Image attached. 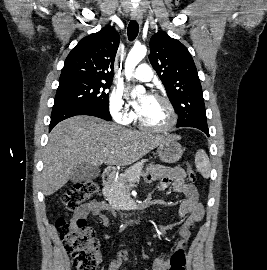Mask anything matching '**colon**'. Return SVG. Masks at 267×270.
<instances>
[{"label":"colon","instance_id":"5ec220e1","mask_svg":"<svg viewBox=\"0 0 267 270\" xmlns=\"http://www.w3.org/2000/svg\"><path fill=\"white\" fill-rule=\"evenodd\" d=\"M196 174L191 165L187 166L186 181L195 184ZM98 191L94 181L76 184L61 198V203L68 213L76 212L79 207L92 198ZM57 232L63 241L66 252L77 270H97L100 262L98 242L94 231L87 227L83 219L67 221L60 217L56 220ZM186 245L175 250L170 257L169 270H185Z\"/></svg>","mask_w":267,"mask_h":270}]
</instances>
